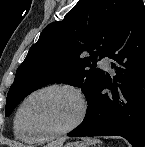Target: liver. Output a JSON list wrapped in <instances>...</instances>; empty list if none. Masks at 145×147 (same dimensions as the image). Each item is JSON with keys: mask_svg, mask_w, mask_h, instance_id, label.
Returning a JSON list of instances; mask_svg holds the SVG:
<instances>
[{"mask_svg": "<svg viewBox=\"0 0 145 147\" xmlns=\"http://www.w3.org/2000/svg\"><path fill=\"white\" fill-rule=\"evenodd\" d=\"M64 141H65V139H59L55 142L48 144L46 147H62Z\"/></svg>", "mask_w": 145, "mask_h": 147, "instance_id": "liver-1", "label": "liver"}]
</instances>
